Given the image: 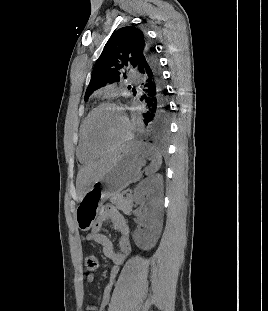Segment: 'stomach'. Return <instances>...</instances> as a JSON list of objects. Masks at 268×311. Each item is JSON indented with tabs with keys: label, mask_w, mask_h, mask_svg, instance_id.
<instances>
[{
	"label": "stomach",
	"mask_w": 268,
	"mask_h": 311,
	"mask_svg": "<svg viewBox=\"0 0 268 311\" xmlns=\"http://www.w3.org/2000/svg\"><path fill=\"white\" fill-rule=\"evenodd\" d=\"M147 155V147L128 146L116 156L103 176L96 180L80 199L75 210L78 229L90 230L103 202L141 178V169L148 158Z\"/></svg>",
	"instance_id": "1"
}]
</instances>
